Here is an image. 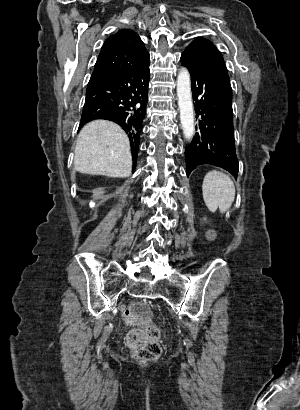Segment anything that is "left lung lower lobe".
<instances>
[{
	"mask_svg": "<svg viewBox=\"0 0 300 410\" xmlns=\"http://www.w3.org/2000/svg\"><path fill=\"white\" fill-rule=\"evenodd\" d=\"M181 62L191 75L192 97L196 118H199L198 132L185 150L187 176L195 167L211 164L228 170L236 177L238 160L229 78L199 66L184 53Z\"/></svg>",
	"mask_w": 300,
	"mask_h": 410,
	"instance_id": "left-lung-lower-lobe-1",
	"label": "left lung lower lobe"
}]
</instances>
